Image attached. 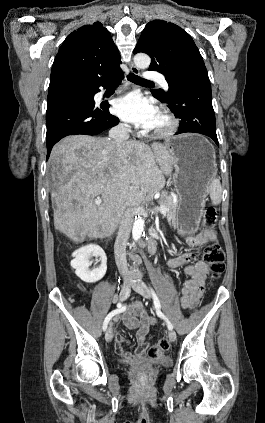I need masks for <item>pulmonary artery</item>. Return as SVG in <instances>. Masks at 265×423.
<instances>
[{
    "label": "pulmonary artery",
    "instance_id": "e3ab8cb5",
    "mask_svg": "<svg viewBox=\"0 0 265 423\" xmlns=\"http://www.w3.org/2000/svg\"><path fill=\"white\" fill-rule=\"evenodd\" d=\"M145 78L147 80H156L158 79L161 83V85L163 86L164 89H168V84L165 81V79L157 72L155 71H148L147 74L145 75Z\"/></svg>",
    "mask_w": 265,
    "mask_h": 423
}]
</instances>
